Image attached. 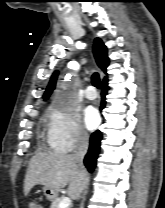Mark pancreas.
I'll return each instance as SVG.
<instances>
[{
    "instance_id": "pancreas-1",
    "label": "pancreas",
    "mask_w": 165,
    "mask_h": 208,
    "mask_svg": "<svg viewBox=\"0 0 165 208\" xmlns=\"http://www.w3.org/2000/svg\"><path fill=\"white\" fill-rule=\"evenodd\" d=\"M62 199H63V197H56L52 201L50 208H59L58 205H59V203L61 202Z\"/></svg>"
}]
</instances>
